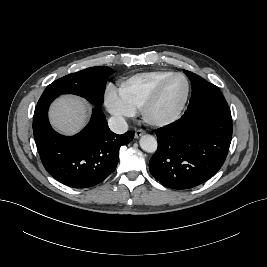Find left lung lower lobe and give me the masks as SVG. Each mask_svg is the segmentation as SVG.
I'll return each instance as SVG.
<instances>
[{
	"instance_id": "obj_1",
	"label": "left lung lower lobe",
	"mask_w": 267,
	"mask_h": 267,
	"mask_svg": "<svg viewBox=\"0 0 267 267\" xmlns=\"http://www.w3.org/2000/svg\"><path fill=\"white\" fill-rule=\"evenodd\" d=\"M213 97H192L179 120L156 130L158 149L149 169L162 185L193 188L223 165L232 139V117L228 104L215 106Z\"/></svg>"
}]
</instances>
